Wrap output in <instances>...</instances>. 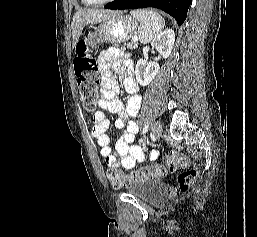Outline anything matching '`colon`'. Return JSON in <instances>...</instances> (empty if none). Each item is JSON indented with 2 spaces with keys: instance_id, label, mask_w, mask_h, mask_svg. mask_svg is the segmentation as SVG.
<instances>
[{
  "instance_id": "colon-1",
  "label": "colon",
  "mask_w": 257,
  "mask_h": 237,
  "mask_svg": "<svg viewBox=\"0 0 257 237\" xmlns=\"http://www.w3.org/2000/svg\"><path fill=\"white\" fill-rule=\"evenodd\" d=\"M74 72L81 100L84 107L95 110L98 101L99 72L96 60L89 54V45L86 39H81L76 45L75 56L73 59ZM168 169L176 170L189 166V159L181 153H171L167 157ZM167 172L163 166L143 167L129 174L116 168H109L106 171L107 178L114 188L128 187L132 183L144 180H158ZM197 168H186L178 176V185L182 191L191 188L198 176Z\"/></svg>"
}]
</instances>
